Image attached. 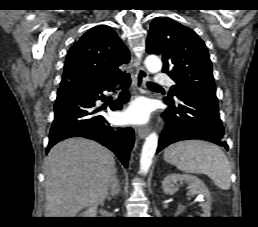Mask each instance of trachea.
Wrapping results in <instances>:
<instances>
[{"label": "trachea", "instance_id": "trachea-1", "mask_svg": "<svg viewBox=\"0 0 258 227\" xmlns=\"http://www.w3.org/2000/svg\"><path fill=\"white\" fill-rule=\"evenodd\" d=\"M147 86H148L149 88H161V86H159V85H157V84H155V83H152V82H148V83H147Z\"/></svg>", "mask_w": 258, "mask_h": 227}]
</instances>
